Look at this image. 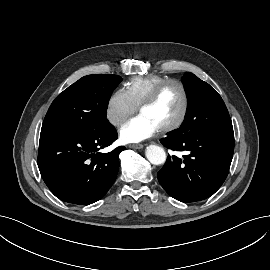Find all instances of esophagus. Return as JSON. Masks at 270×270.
<instances>
[{
    "label": "esophagus",
    "instance_id": "34e87169",
    "mask_svg": "<svg viewBox=\"0 0 270 270\" xmlns=\"http://www.w3.org/2000/svg\"><path fill=\"white\" fill-rule=\"evenodd\" d=\"M129 147L132 149H142L143 145L142 144H130Z\"/></svg>",
    "mask_w": 270,
    "mask_h": 270
}]
</instances>
